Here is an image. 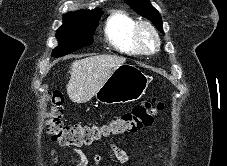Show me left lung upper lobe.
Here are the masks:
<instances>
[{"label":"left lung upper lobe","instance_id":"left-lung-upper-lobe-1","mask_svg":"<svg viewBox=\"0 0 227 166\" xmlns=\"http://www.w3.org/2000/svg\"><path fill=\"white\" fill-rule=\"evenodd\" d=\"M125 2L140 16L149 19L161 32H163L161 16L148 0H125Z\"/></svg>","mask_w":227,"mask_h":166}]
</instances>
